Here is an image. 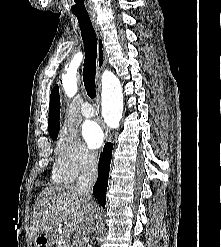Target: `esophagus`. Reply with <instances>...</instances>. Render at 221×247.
Masks as SVG:
<instances>
[{
	"instance_id": "esophagus-1",
	"label": "esophagus",
	"mask_w": 221,
	"mask_h": 247,
	"mask_svg": "<svg viewBox=\"0 0 221 247\" xmlns=\"http://www.w3.org/2000/svg\"><path fill=\"white\" fill-rule=\"evenodd\" d=\"M91 22L93 24L96 37H97V114H98L99 120L101 121L102 117L100 113V80H99V77H100L101 71L103 70V68L105 67L107 63V56L105 52V45L103 41L101 28L99 24L97 23L95 17H91ZM103 127L105 129L106 138L108 140H112V136H111L109 129L104 124H103Z\"/></svg>"
}]
</instances>
